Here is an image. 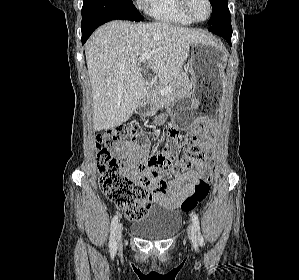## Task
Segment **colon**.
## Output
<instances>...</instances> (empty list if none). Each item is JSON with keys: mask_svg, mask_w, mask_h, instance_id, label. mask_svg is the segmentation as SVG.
<instances>
[{"mask_svg": "<svg viewBox=\"0 0 299 280\" xmlns=\"http://www.w3.org/2000/svg\"><path fill=\"white\" fill-rule=\"evenodd\" d=\"M169 145L151 157V162L161 166L165 171L175 176L191 170L201 157V149L195 131H186L183 147L184 155H178L177 142L180 139L176 128L169 129ZM132 142L140 147L147 145V137L137 126L119 125L105 130L97 137V167L99 171V185L103 194L114 205L122 210L127 219L131 221L143 218L148 209V192L134 179L128 164L120 161L113 154V150L120 145ZM210 190V182L201 179L195 183L193 192L187 196L181 209L184 212L194 210L204 201Z\"/></svg>", "mask_w": 299, "mask_h": 280, "instance_id": "colon-1", "label": "colon"}]
</instances>
